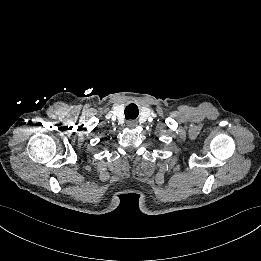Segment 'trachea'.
I'll use <instances>...</instances> for the list:
<instances>
[{
	"label": "trachea",
	"instance_id": "obj_1",
	"mask_svg": "<svg viewBox=\"0 0 261 261\" xmlns=\"http://www.w3.org/2000/svg\"><path fill=\"white\" fill-rule=\"evenodd\" d=\"M138 108L135 104H129L125 109V117L126 119H136L138 116Z\"/></svg>",
	"mask_w": 261,
	"mask_h": 261
}]
</instances>
